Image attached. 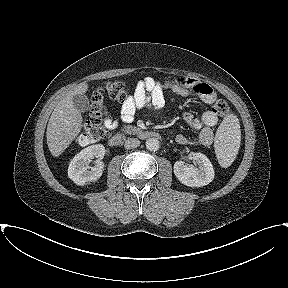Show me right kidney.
<instances>
[{
    "mask_svg": "<svg viewBox=\"0 0 288 288\" xmlns=\"http://www.w3.org/2000/svg\"><path fill=\"white\" fill-rule=\"evenodd\" d=\"M105 155V147L101 144L88 146L71 160L68 167V176L77 185L83 186L90 182L97 181L104 168V163L101 161ZM96 158V163L93 167H89L88 161Z\"/></svg>",
    "mask_w": 288,
    "mask_h": 288,
    "instance_id": "right-kidney-1",
    "label": "right kidney"
}]
</instances>
